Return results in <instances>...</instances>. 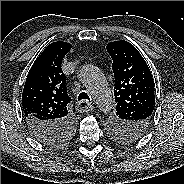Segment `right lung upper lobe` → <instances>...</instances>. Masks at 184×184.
I'll list each match as a JSON object with an SVG mask.
<instances>
[{
  "instance_id": "obj_1",
  "label": "right lung upper lobe",
  "mask_w": 184,
  "mask_h": 184,
  "mask_svg": "<svg viewBox=\"0 0 184 184\" xmlns=\"http://www.w3.org/2000/svg\"><path fill=\"white\" fill-rule=\"evenodd\" d=\"M70 49V43L53 42L34 62L22 94V109L26 119L34 117L59 122L69 117L67 104L71 97L67 93L66 76L61 63Z\"/></svg>"
}]
</instances>
